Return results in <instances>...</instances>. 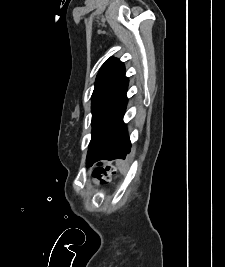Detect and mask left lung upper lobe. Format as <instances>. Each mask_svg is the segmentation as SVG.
Instances as JSON below:
<instances>
[{
	"label": "left lung upper lobe",
	"mask_w": 225,
	"mask_h": 267,
	"mask_svg": "<svg viewBox=\"0 0 225 267\" xmlns=\"http://www.w3.org/2000/svg\"><path fill=\"white\" fill-rule=\"evenodd\" d=\"M128 78L124 64L109 58L101 67L92 94V138L87 155V166H92L113 126L127 92Z\"/></svg>",
	"instance_id": "5c2ea615"
}]
</instances>
